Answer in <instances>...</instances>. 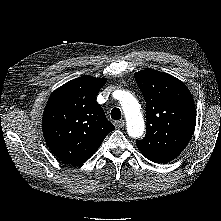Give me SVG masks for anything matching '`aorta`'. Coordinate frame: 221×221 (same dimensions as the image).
Returning a JSON list of instances; mask_svg holds the SVG:
<instances>
[{
  "mask_svg": "<svg viewBox=\"0 0 221 221\" xmlns=\"http://www.w3.org/2000/svg\"><path fill=\"white\" fill-rule=\"evenodd\" d=\"M119 100L126 117L128 134L133 138L141 137L144 133L145 124L139 102L127 91H121Z\"/></svg>",
  "mask_w": 221,
  "mask_h": 221,
  "instance_id": "1",
  "label": "aorta"
}]
</instances>
